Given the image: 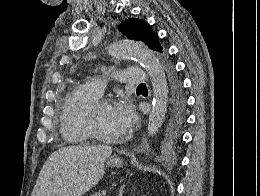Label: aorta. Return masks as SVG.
Returning <instances> with one entry per match:
<instances>
[{"mask_svg": "<svg viewBox=\"0 0 260 196\" xmlns=\"http://www.w3.org/2000/svg\"><path fill=\"white\" fill-rule=\"evenodd\" d=\"M111 55L118 58H135L147 71L153 88L152 109L149 115L148 134H156L167 110V81L164 70L156 55L146 46L123 40L110 46Z\"/></svg>", "mask_w": 260, "mask_h": 196, "instance_id": "762f6f07", "label": "aorta"}]
</instances>
